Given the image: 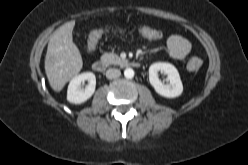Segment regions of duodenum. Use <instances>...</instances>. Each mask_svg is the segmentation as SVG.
I'll return each mask as SVG.
<instances>
[{
  "label": "duodenum",
  "instance_id": "1",
  "mask_svg": "<svg viewBox=\"0 0 248 165\" xmlns=\"http://www.w3.org/2000/svg\"><path fill=\"white\" fill-rule=\"evenodd\" d=\"M131 67H139L140 63L138 61H131L129 62ZM92 69L98 73H103L107 69V63L103 60H96L92 64Z\"/></svg>",
  "mask_w": 248,
  "mask_h": 165
}]
</instances>
